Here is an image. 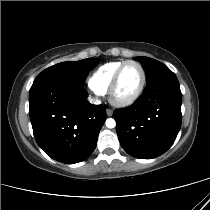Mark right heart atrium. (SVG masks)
<instances>
[{"label":"right heart atrium","mask_w":210,"mask_h":210,"mask_svg":"<svg viewBox=\"0 0 210 210\" xmlns=\"http://www.w3.org/2000/svg\"><path fill=\"white\" fill-rule=\"evenodd\" d=\"M92 91L95 93V94H98L97 92H95L93 89H92Z\"/></svg>","instance_id":"1"}]
</instances>
